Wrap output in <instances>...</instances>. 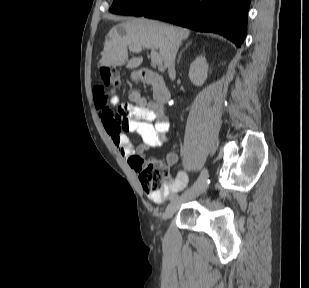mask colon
Returning a JSON list of instances; mask_svg holds the SVG:
<instances>
[{"mask_svg":"<svg viewBox=\"0 0 309 288\" xmlns=\"http://www.w3.org/2000/svg\"><path fill=\"white\" fill-rule=\"evenodd\" d=\"M101 84L97 86L96 103L101 115L110 118L115 124L122 126L128 119V110L124 105L113 109L106 90H115L120 87L121 80L118 72L111 67L100 69ZM139 167V180L143 189L148 193H159L167 185L169 170L166 165L159 163L154 157L144 162L140 157L134 158ZM145 166V167H144Z\"/></svg>","mask_w":309,"mask_h":288,"instance_id":"5ec220e1","label":"colon"}]
</instances>
